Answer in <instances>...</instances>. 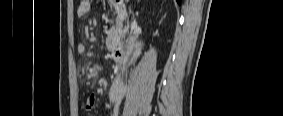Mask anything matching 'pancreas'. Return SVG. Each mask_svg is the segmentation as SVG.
Listing matches in <instances>:
<instances>
[{
	"label": "pancreas",
	"instance_id": "cf45deb5",
	"mask_svg": "<svg viewBox=\"0 0 283 116\" xmlns=\"http://www.w3.org/2000/svg\"><path fill=\"white\" fill-rule=\"evenodd\" d=\"M128 32V27H123L121 24H114L107 33L106 46L109 51H112L117 45L118 41L125 37Z\"/></svg>",
	"mask_w": 283,
	"mask_h": 116
}]
</instances>
